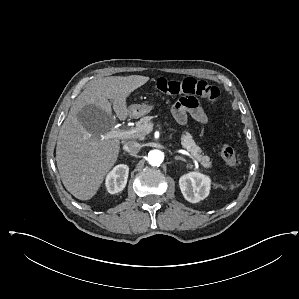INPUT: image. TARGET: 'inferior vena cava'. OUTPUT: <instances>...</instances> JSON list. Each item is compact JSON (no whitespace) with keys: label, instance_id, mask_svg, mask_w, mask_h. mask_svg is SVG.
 I'll use <instances>...</instances> for the list:
<instances>
[{"label":"inferior vena cava","instance_id":"1","mask_svg":"<svg viewBox=\"0 0 299 299\" xmlns=\"http://www.w3.org/2000/svg\"><path fill=\"white\" fill-rule=\"evenodd\" d=\"M123 149L131 154H137L141 149V145L136 141H128L123 146Z\"/></svg>","mask_w":299,"mask_h":299}]
</instances>
